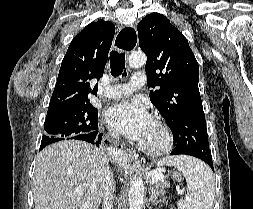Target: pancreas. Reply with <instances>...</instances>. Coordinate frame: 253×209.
<instances>
[{
  "label": "pancreas",
  "instance_id": "obj_1",
  "mask_svg": "<svg viewBox=\"0 0 253 209\" xmlns=\"http://www.w3.org/2000/svg\"><path fill=\"white\" fill-rule=\"evenodd\" d=\"M169 183L166 181H158L155 184V188L158 194L164 195L165 194V188L169 187Z\"/></svg>",
  "mask_w": 253,
  "mask_h": 209
}]
</instances>
